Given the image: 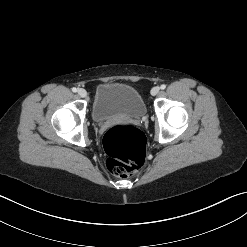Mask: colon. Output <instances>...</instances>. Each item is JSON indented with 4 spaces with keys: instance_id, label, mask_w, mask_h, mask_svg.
I'll list each match as a JSON object with an SVG mask.
<instances>
[{
    "instance_id": "colon-1",
    "label": "colon",
    "mask_w": 247,
    "mask_h": 247,
    "mask_svg": "<svg viewBox=\"0 0 247 247\" xmlns=\"http://www.w3.org/2000/svg\"><path fill=\"white\" fill-rule=\"evenodd\" d=\"M107 155V169L115 176L126 178L133 175L145 160V137L130 125H115L103 137Z\"/></svg>"
}]
</instances>
